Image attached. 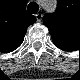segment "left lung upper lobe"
Wrapping results in <instances>:
<instances>
[{
  "instance_id": "left-lung-upper-lobe-1",
  "label": "left lung upper lobe",
  "mask_w": 80,
  "mask_h": 80,
  "mask_svg": "<svg viewBox=\"0 0 80 80\" xmlns=\"http://www.w3.org/2000/svg\"><path fill=\"white\" fill-rule=\"evenodd\" d=\"M70 4L66 0H58V8L54 14H46L43 23L49 29L54 43L58 47L71 44L75 32L78 30L77 21L73 18Z\"/></svg>"
}]
</instances>
